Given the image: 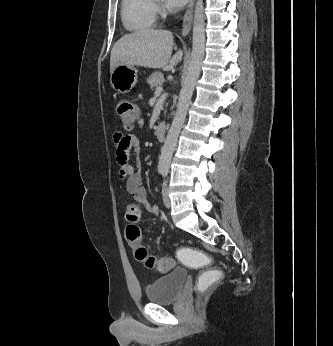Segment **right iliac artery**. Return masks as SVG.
<instances>
[{
	"label": "right iliac artery",
	"mask_w": 333,
	"mask_h": 346,
	"mask_svg": "<svg viewBox=\"0 0 333 346\" xmlns=\"http://www.w3.org/2000/svg\"><path fill=\"white\" fill-rule=\"evenodd\" d=\"M159 172L162 174V173H163V170H159Z\"/></svg>",
	"instance_id": "right-iliac-artery-1"
}]
</instances>
